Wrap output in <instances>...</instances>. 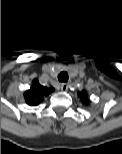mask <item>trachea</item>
Returning <instances> with one entry per match:
<instances>
[{
	"instance_id": "3493384b",
	"label": "trachea",
	"mask_w": 122,
	"mask_h": 154,
	"mask_svg": "<svg viewBox=\"0 0 122 154\" xmlns=\"http://www.w3.org/2000/svg\"><path fill=\"white\" fill-rule=\"evenodd\" d=\"M68 78H69L68 73L65 71L60 72V74L58 75V80L60 82H67Z\"/></svg>"
}]
</instances>
